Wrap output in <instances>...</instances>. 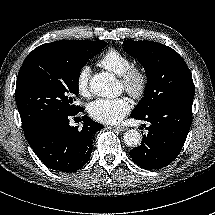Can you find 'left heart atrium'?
I'll return each instance as SVG.
<instances>
[{
  "instance_id": "1",
  "label": "left heart atrium",
  "mask_w": 215,
  "mask_h": 215,
  "mask_svg": "<svg viewBox=\"0 0 215 215\" xmlns=\"http://www.w3.org/2000/svg\"><path fill=\"white\" fill-rule=\"evenodd\" d=\"M130 102L126 97L115 99L99 98L89 106L90 116L102 123L114 124L130 112Z\"/></svg>"
}]
</instances>
